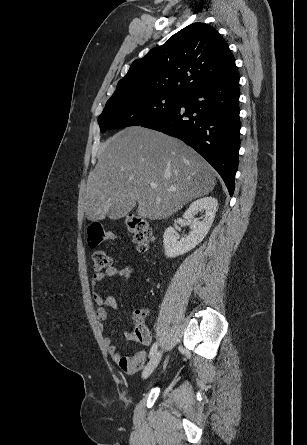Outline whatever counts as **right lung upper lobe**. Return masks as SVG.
Returning <instances> with one entry per match:
<instances>
[{
  "label": "right lung upper lobe",
  "mask_w": 307,
  "mask_h": 445,
  "mask_svg": "<svg viewBox=\"0 0 307 445\" xmlns=\"http://www.w3.org/2000/svg\"><path fill=\"white\" fill-rule=\"evenodd\" d=\"M235 66L228 44L217 30L193 23L165 44L135 60L114 96L168 94L185 96Z\"/></svg>",
  "instance_id": "1"
}]
</instances>
